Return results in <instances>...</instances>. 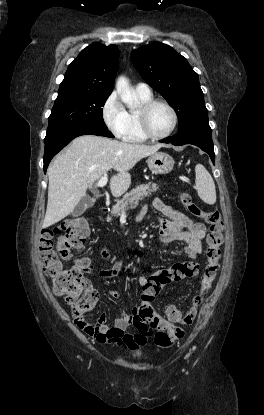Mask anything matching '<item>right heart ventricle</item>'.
<instances>
[{
    "label": "right heart ventricle",
    "instance_id": "1",
    "mask_svg": "<svg viewBox=\"0 0 264 415\" xmlns=\"http://www.w3.org/2000/svg\"><path fill=\"white\" fill-rule=\"evenodd\" d=\"M141 103L152 100V95H143L137 93ZM121 138L127 142H143L146 138L141 134L139 130V122L137 116V110L130 109L127 111V126L126 130Z\"/></svg>",
    "mask_w": 264,
    "mask_h": 415
}]
</instances>
